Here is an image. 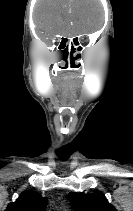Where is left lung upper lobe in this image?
<instances>
[{
  "label": "left lung upper lobe",
  "mask_w": 133,
  "mask_h": 211,
  "mask_svg": "<svg viewBox=\"0 0 133 211\" xmlns=\"http://www.w3.org/2000/svg\"><path fill=\"white\" fill-rule=\"evenodd\" d=\"M68 198L74 211H117L102 192L91 194L70 192Z\"/></svg>",
  "instance_id": "left-lung-upper-lobe-1"
}]
</instances>
